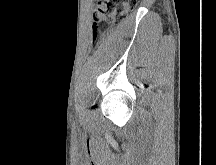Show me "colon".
Masks as SVG:
<instances>
[{"label": "colon", "mask_w": 216, "mask_h": 165, "mask_svg": "<svg viewBox=\"0 0 216 165\" xmlns=\"http://www.w3.org/2000/svg\"><path fill=\"white\" fill-rule=\"evenodd\" d=\"M138 3L139 0H97L94 14L95 31L101 24L121 22Z\"/></svg>", "instance_id": "5ec220e1"}]
</instances>
